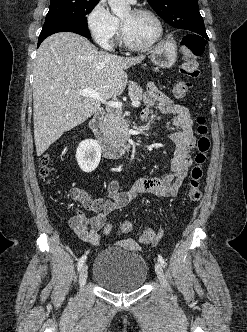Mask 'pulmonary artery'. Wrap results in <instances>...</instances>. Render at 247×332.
<instances>
[{
	"mask_svg": "<svg viewBox=\"0 0 247 332\" xmlns=\"http://www.w3.org/2000/svg\"><path fill=\"white\" fill-rule=\"evenodd\" d=\"M131 3H135L136 2V0H129Z\"/></svg>",
	"mask_w": 247,
	"mask_h": 332,
	"instance_id": "1",
	"label": "pulmonary artery"
}]
</instances>
